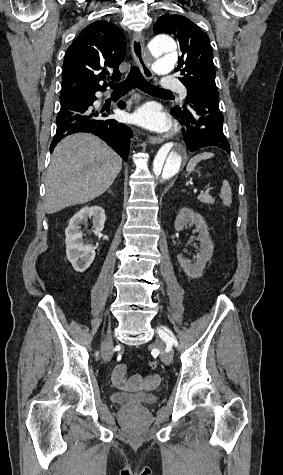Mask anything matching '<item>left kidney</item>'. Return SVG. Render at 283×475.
Segmentation results:
<instances>
[{
  "mask_svg": "<svg viewBox=\"0 0 283 475\" xmlns=\"http://www.w3.org/2000/svg\"><path fill=\"white\" fill-rule=\"evenodd\" d=\"M187 224H195L197 230H199V236H197L196 239L201 241L200 251L197 253L196 261H194V263L187 261V259L183 257L182 253H178L177 259L181 267H183L186 275L196 279V277H201L203 269L206 265V261H209L211 255H213L214 247L211 239L209 238L208 226L201 214H195V212L190 210V208H181L175 220L176 232L183 230L184 226H187Z\"/></svg>",
  "mask_w": 283,
  "mask_h": 475,
  "instance_id": "5707ae66",
  "label": "left kidney"
}]
</instances>
